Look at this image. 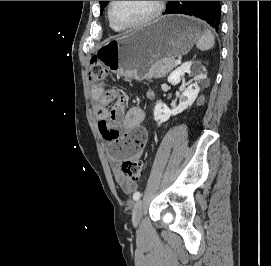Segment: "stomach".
<instances>
[{"label":"stomach","mask_w":271,"mask_h":266,"mask_svg":"<svg viewBox=\"0 0 271 266\" xmlns=\"http://www.w3.org/2000/svg\"><path fill=\"white\" fill-rule=\"evenodd\" d=\"M202 35L201 22L182 15L163 16L125 36L103 43L98 60L111 72L138 81L152 65L187 54Z\"/></svg>","instance_id":"0dacf381"}]
</instances>
